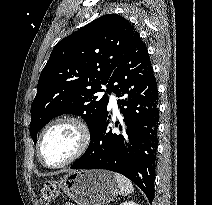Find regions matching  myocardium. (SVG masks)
<instances>
[{"mask_svg":"<svg viewBox=\"0 0 212 205\" xmlns=\"http://www.w3.org/2000/svg\"><path fill=\"white\" fill-rule=\"evenodd\" d=\"M61 124H68L73 126L77 133H78V146L74 153L69 156L64 161L57 163V164H49L47 163L42 155V145L44 142V139L47 135V133L55 126L61 125ZM91 142V131L88 126V124L80 117L74 116V115H64L57 117L53 120H51L41 131L39 138H38V144H37V153L40 162L49 168H61L64 167L73 161L77 160L79 157H81L85 151L88 149Z\"/></svg>","mask_w":212,"mask_h":205,"instance_id":"myocardium-1","label":"myocardium"}]
</instances>
